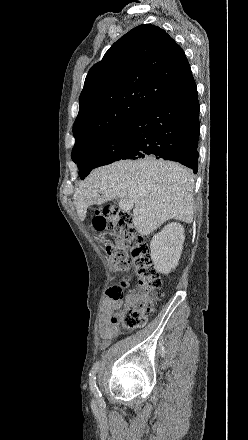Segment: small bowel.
Masks as SVG:
<instances>
[{
	"instance_id": "1",
	"label": "small bowel",
	"mask_w": 248,
	"mask_h": 440,
	"mask_svg": "<svg viewBox=\"0 0 248 440\" xmlns=\"http://www.w3.org/2000/svg\"><path fill=\"white\" fill-rule=\"evenodd\" d=\"M114 308L106 300L102 309L99 321V333L102 338L100 343L101 348H106L110 345L111 341L119 334V327L117 324L111 322Z\"/></svg>"
}]
</instances>
